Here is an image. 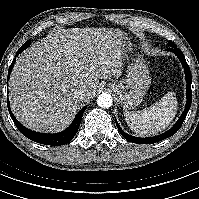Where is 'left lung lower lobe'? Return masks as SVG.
I'll return each mask as SVG.
<instances>
[{"label":"left lung lower lobe","instance_id":"1","mask_svg":"<svg viewBox=\"0 0 199 199\" xmlns=\"http://www.w3.org/2000/svg\"><path fill=\"white\" fill-rule=\"evenodd\" d=\"M167 50L174 52L177 55V57L180 59L181 63L183 64V67H184L186 83H187V86H186L187 102H186L185 110H184L183 114L180 116V118L178 119V121L175 123V125L170 130H168L167 132H165L161 135L155 136V137L139 138V137H134V136L128 135L120 128L119 124L116 121L117 128H118L119 132L121 133V135L131 142H134L137 144H151V143H155V142L164 140V139L174 135L182 126L183 121L190 109L191 102H192V91H191L192 77H191L190 68L185 60L183 53L181 52L180 49H178L176 47V45L171 46Z\"/></svg>","mask_w":199,"mask_h":199}]
</instances>
